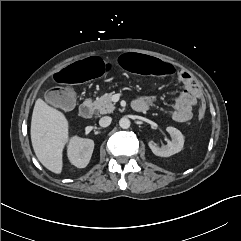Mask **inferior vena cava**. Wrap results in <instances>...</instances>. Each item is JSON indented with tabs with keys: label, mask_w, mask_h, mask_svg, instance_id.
Instances as JSON below:
<instances>
[{
	"label": "inferior vena cava",
	"mask_w": 241,
	"mask_h": 241,
	"mask_svg": "<svg viewBox=\"0 0 241 241\" xmlns=\"http://www.w3.org/2000/svg\"><path fill=\"white\" fill-rule=\"evenodd\" d=\"M112 118L109 116H104L99 120V125L101 127H108L111 124Z\"/></svg>",
	"instance_id": "602c4592"
}]
</instances>
